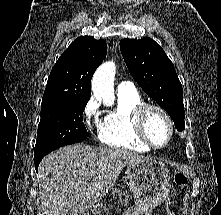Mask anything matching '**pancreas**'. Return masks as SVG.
Masks as SVG:
<instances>
[{
  "mask_svg": "<svg viewBox=\"0 0 221 215\" xmlns=\"http://www.w3.org/2000/svg\"><path fill=\"white\" fill-rule=\"evenodd\" d=\"M112 199L118 198V204H127L132 200V197L129 195L127 190H124L123 187L114 188L112 190Z\"/></svg>",
  "mask_w": 221,
  "mask_h": 215,
  "instance_id": "cf45deb5",
  "label": "pancreas"
}]
</instances>
